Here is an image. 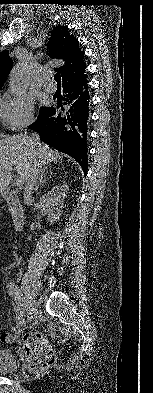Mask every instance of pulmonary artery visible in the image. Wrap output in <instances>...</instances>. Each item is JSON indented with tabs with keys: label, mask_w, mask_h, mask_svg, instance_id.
Masks as SVG:
<instances>
[{
	"label": "pulmonary artery",
	"mask_w": 153,
	"mask_h": 393,
	"mask_svg": "<svg viewBox=\"0 0 153 393\" xmlns=\"http://www.w3.org/2000/svg\"><path fill=\"white\" fill-rule=\"evenodd\" d=\"M45 86H46V87H52V84H51L50 81H48V82L45 83Z\"/></svg>",
	"instance_id": "1"
}]
</instances>
